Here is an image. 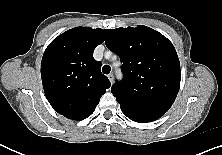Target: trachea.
Here are the masks:
<instances>
[{
  "label": "trachea",
  "instance_id": "trachea-1",
  "mask_svg": "<svg viewBox=\"0 0 222 155\" xmlns=\"http://www.w3.org/2000/svg\"><path fill=\"white\" fill-rule=\"evenodd\" d=\"M111 71V67L109 65H104L103 68H102V72L104 74H109Z\"/></svg>",
  "mask_w": 222,
  "mask_h": 155
}]
</instances>
